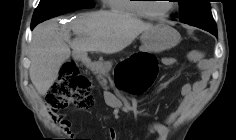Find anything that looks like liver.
I'll return each instance as SVG.
<instances>
[{
  "instance_id": "6515ba94",
  "label": "liver",
  "mask_w": 236,
  "mask_h": 140,
  "mask_svg": "<svg viewBox=\"0 0 236 140\" xmlns=\"http://www.w3.org/2000/svg\"><path fill=\"white\" fill-rule=\"evenodd\" d=\"M152 27L130 15L109 11L81 14L70 26L61 29L55 22L41 23L32 34L30 79L38 93L45 96L69 59L70 48L80 56L87 52L117 53ZM71 30L76 35L73 40Z\"/></svg>"
}]
</instances>
